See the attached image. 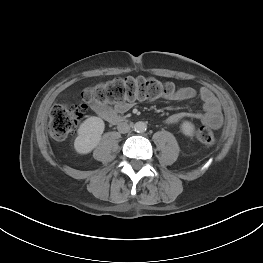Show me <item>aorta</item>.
Instances as JSON below:
<instances>
[{
  "label": "aorta",
  "instance_id": "762f6f07",
  "mask_svg": "<svg viewBox=\"0 0 263 263\" xmlns=\"http://www.w3.org/2000/svg\"><path fill=\"white\" fill-rule=\"evenodd\" d=\"M134 130L139 133H143L147 130V124L145 122L139 121L134 124Z\"/></svg>",
  "mask_w": 263,
  "mask_h": 263
}]
</instances>
